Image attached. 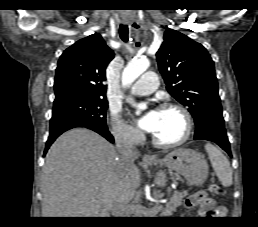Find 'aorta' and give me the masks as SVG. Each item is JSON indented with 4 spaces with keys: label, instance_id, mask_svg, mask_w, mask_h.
I'll return each mask as SVG.
<instances>
[{
    "label": "aorta",
    "instance_id": "aorta-1",
    "mask_svg": "<svg viewBox=\"0 0 258 227\" xmlns=\"http://www.w3.org/2000/svg\"><path fill=\"white\" fill-rule=\"evenodd\" d=\"M148 67L149 61L146 58L130 61L122 72V85L124 87L130 86ZM132 105L137 108V114L146 107L142 103L136 104L132 102Z\"/></svg>",
    "mask_w": 258,
    "mask_h": 227
}]
</instances>
